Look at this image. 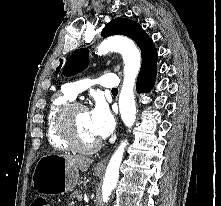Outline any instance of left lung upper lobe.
Wrapping results in <instances>:
<instances>
[{"instance_id": "1", "label": "left lung upper lobe", "mask_w": 221, "mask_h": 206, "mask_svg": "<svg viewBox=\"0 0 221 206\" xmlns=\"http://www.w3.org/2000/svg\"><path fill=\"white\" fill-rule=\"evenodd\" d=\"M122 34L133 39L139 46L142 56V66L138 78L156 72L157 52L152 39L145 33L142 27L135 21L125 18H116L108 23L102 30V36ZM88 50L79 49L67 60L63 72L65 76H72L84 70L89 62ZM63 60L56 73L60 72Z\"/></svg>"}]
</instances>
